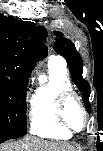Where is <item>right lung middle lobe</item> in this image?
I'll list each match as a JSON object with an SVG mask.
<instances>
[{
    "instance_id": "obj_1",
    "label": "right lung middle lobe",
    "mask_w": 103,
    "mask_h": 151,
    "mask_svg": "<svg viewBox=\"0 0 103 151\" xmlns=\"http://www.w3.org/2000/svg\"><path fill=\"white\" fill-rule=\"evenodd\" d=\"M27 84L28 80L0 73V143L27 133Z\"/></svg>"
}]
</instances>
